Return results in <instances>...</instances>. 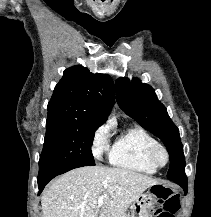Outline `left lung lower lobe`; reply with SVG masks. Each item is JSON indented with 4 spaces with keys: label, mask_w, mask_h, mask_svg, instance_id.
I'll list each match as a JSON object with an SVG mask.
<instances>
[{
    "label": "left lung lower lobe",
    "mask_w": 211,
    "mask_h": 217,
    "mask_svg": "<svg viewBox=\"0 0 211 217\" xmlns=\"http://www.w3.org/2000/svg\"><path fill=\"white\" fill-rule=\"evenodd\" d=\"M177 184L180 185L183 188L184 193L186 194L187 191H188V189H187L188 188L187 183H185V182H178Z\"/></svg>",
    "instance_id": "left-lung-lower-lobe-1"
}]
</instances>
